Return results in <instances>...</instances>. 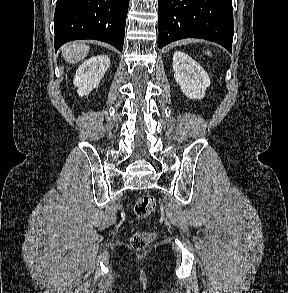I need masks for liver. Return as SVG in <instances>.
Instances as JSON below:
<instances>
[{"instance_id":"6515ba94","label":"liver","mask_w":288,"mask_h":293,"mask_svg":"<svg viewBox=\"0 0 288 293\" xmlns=\"http://www.w3.org/2000/svg\"><path fill=\"white\" fill-rule=\"evenodd\" d=\"M89 49L88 45L82 43H69L62 47V56L67 62L75 64L87 56Z\"/></svg>"}]
</instances>
